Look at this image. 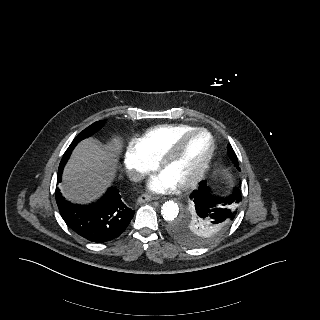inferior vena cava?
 <instances>
[{"label":"inferior vena cava","instance_id":"obj_1","mask_svg":"<svg viewBox=\"0 0 320 320\" xmlns=\"http://www.w3.org/2000/svg\"><path fill=\"white\" fill-rule=\"evenodd\" d=\"M128 177L131 181L139 182L144 178V175L139 172H129Z\"/></svg>","mask_w":320,"mask_h":320}]
</instances>
